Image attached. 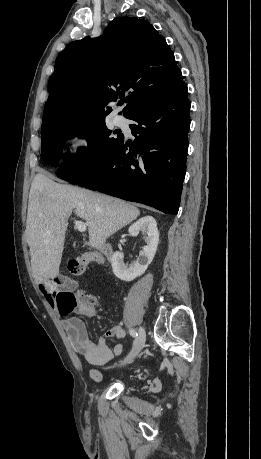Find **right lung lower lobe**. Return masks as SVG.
Instances as JSON below:
<instances>
[{
	"label": "right lung lower lobe",
	"instance_id": "98d812e1",
	"mask_svg": "<svg viewBox=\"0 0 261 459\" xmlns=\"http://www.w3.org/2000/svg\"><path fill=\"white\" fill-rule=\"evenodd\" d=\"M187 93L184 83L162 101L136 110L128 117L137 122L130 125L134 146L123 137L102 164L70 183L176 215L188 150Z\"/></svg>",
	"mask_w": 261,
	"mask_h": 459
}]
</instances>
